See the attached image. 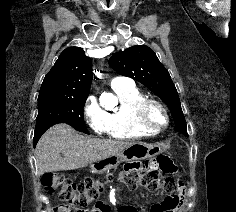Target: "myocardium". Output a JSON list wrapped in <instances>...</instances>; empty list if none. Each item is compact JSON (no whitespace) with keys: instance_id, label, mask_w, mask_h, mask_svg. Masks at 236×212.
Here are the masks:
<instances>
[{"instance_id":"myocardium-1","label":"myocardium","mask_w":236,"mask_h":212,"mask_svg":"<svg viewBox=\"0 0 236 212\" xmlns=\"http://www.w3.org/2000/svg\"><path fill=\"white\" fill-rule=\"evenodd\" d=\"M158 109L164 116V123L162 125H157L153 122L151 118V111L153 109ZM136 118L138 123L155 133L164 130L170 123V116L165 105L153 98H145L137 107Z\"/></svg>"}]
</instances>
